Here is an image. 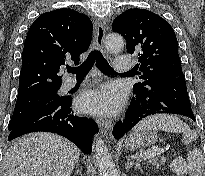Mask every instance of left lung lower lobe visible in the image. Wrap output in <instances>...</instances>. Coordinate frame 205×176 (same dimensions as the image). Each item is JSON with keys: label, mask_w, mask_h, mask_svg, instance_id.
<instances>
[{"label": "left lung lower lobe", "mask_w": 205, "mask_h": 176, "mask_svg": "<svg viewBox=\"0 0 205 176\" xmlns=\"http://www.w3.org/2000/svg\"><path fill=\"white\" fill-rule=\"evenodd\" d=\"M155 114H179L195 121L183 75L164 76L134 91L125 119L114 126L113 136L120 139L141 120Z\"/></svg>", "instance_id": "1"}]
</instances>
